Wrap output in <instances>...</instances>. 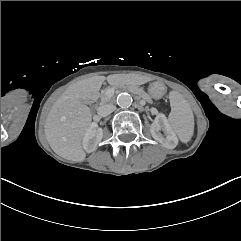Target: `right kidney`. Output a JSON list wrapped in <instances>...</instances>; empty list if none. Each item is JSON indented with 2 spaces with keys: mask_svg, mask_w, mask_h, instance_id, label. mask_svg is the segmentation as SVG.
Returning a JSON list of instances; mask_svg holds the SVG:
<instances>
[{
  "mask_svg": "<svg viewBox=\"0 0 241 241\" xmlns=\"http://www.w3.org/2000/svg\"><path fill=\"white\" fill-rule=\"evenodd\" d=\"M103 138V130L98 126L97 123L93 122L90 124L83 137L82 145L83 149L87 153L94 152L97 149V145Z\"/></svg>",
  "mask_w": 241,
  "mask_h": 241,
  "instance_id": "obj_1",
  "label": "right kidney"
}]
</instances>
